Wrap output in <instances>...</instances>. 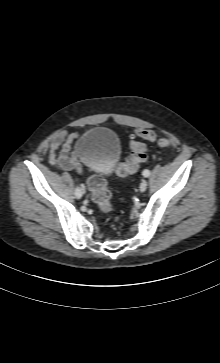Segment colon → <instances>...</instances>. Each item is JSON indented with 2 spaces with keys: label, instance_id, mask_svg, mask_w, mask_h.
I'll return each mask as SVG.
<instances>
[{
  "label": "colon",
  "instance_id": "1",
  "mask_svg": "<svg viewBox=\"0 0 220 363\" xmlns=\"http://www.w3.org/2000/svg\"><path fill=\"white\" fill-rule=\"evenodd\" d=\"M157 142L160 147H171L174 141L170 138H157L156 134L147 129L137 130L130 140V155L128 159L117 166V173L120 176H127L136 172L141 163L147 159V145L142 141ZM87 185L91 192L93 201L97 204L102 213H110L112 205L110 203V192L106 181L98 176L92 175L87 180Z\"/></svg>",
  "mask_w": 220,
  "mask_h": 363
}]
</instances>
